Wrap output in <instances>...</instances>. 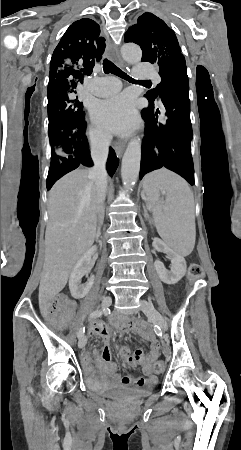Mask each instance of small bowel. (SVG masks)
<instances>
[{"label":"small bowel","instance_id":"obj_1","mask_svg":"<svg viewBox=\"0 0 241 450\" xmlns=\"http://www.w3.org/2000/svg\"><path fill=\"white\" fill-rule=\"evenodd\" d=\"M43 310L36 312L38 319H56L59 316L60 308H66V301L45 300L42 303ZM74 313L68 310H62L60 317L62 319L72 318ZM58 328H63L65 323L58 321ZM118 333H126L129 331L138 333L145 339L149 345V351L144 348H138L131 354L130 349L126 346L119 348L118 354L125 364L130 366H141L143 377H132L129 375H120L116 372L117 366L111 361L110 339L114 335V331L108 325L93 321L89 327V333L99 337L103 342L101 357L94 365L89 354L84 355V362L88 373L92 375L94 382L106 385H122L148 391L157 384V377L154 375L152 364L158 359L160 352V343L155 337L150 327H139L137 321H126L119 323L115 328Z\"/></svg>","mask_w":241,"mask_h":450}]
</instances>
